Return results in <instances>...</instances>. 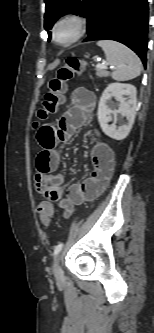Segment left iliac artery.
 <instances>
[{"mask_svg": "<svg viewBox=\"0 0 154 333\" xmlns=\"http://www.w3.org/2000/svg\"><path fill=\"white\" fill-rule=\"evenodd\" d=\"M62 248H63V243H60L55 247L54 253H53L54 257H56V255H58V253L62 250Z\"/></svg>", "mask_w": 154, "mask_h": 333, "instance_id": "1", "label": "left iliac artery"}]
</instances>
